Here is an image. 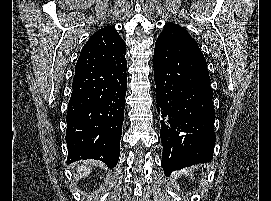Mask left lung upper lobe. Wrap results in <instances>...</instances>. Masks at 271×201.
Returning a JSON list of instances; mask_svg holds the SVG:
<instances>
[{"label":"left lung upper lobe","mask_w":271,"mask_h":201,"mask_svg":"<svg viewBox=\"0 0 271 201\" xmlns=\"http://www.w3.org/2000/svg\"><path fill=\"white\" fill-rule=\"evenodd\" d=\"M180 29H182L181 26L174 23H168L164 26V29L157 40L166 41L168 38H171L174 34H176Z\"/></svg>","instance_id":"1"}]
</instances>
